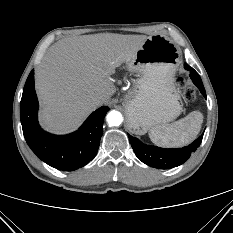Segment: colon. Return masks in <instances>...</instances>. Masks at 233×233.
I'll list each match as a JSON object with an SVG mask.
<instances>
[{
	"mask_svg": "<svg viewBox=\"0 0 233 233\" xmlns=\"http://www.w3.org/2000/svg\"><path fill=\"white\" fill-rule=\"evenodd\" d=\"M177 84L181 90L183 99L186 102H192L195 99V91L187 84V80L184 77H179L177 79Z\"/></svg>",
	"mask_w": 233,
	"mask_h": 233,
	"instance_id": "5ec220e1",
	"label": "colon"
}]
</instances>
